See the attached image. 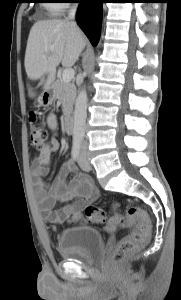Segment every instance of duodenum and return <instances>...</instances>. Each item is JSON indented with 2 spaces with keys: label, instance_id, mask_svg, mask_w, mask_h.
<instances>
[{
  "label": "duodenum",
  "instance_id": "duodenum-1",
  "mask_svg": "<svg viewBox=\"0 0 181 300\" xmlns=\"http://www.w3.org/2000/svg\"><path fill=\"white\" fill-rule=\"evenodd\" d=\"M46 93L50 94V90H47ZM64 126L68 134H72L74 132V118L71 114H67L65 116Z\"/></svg>",
  "mask_w": 181,
  "mask_h": 300
}]
</instances>
